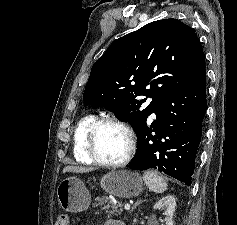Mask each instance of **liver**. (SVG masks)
Returning a JSON list of instances; mask_svg holds the SVG:
<instances>
[{
	"instance_id": "liver-1",
	"label": "liver",
	"mask_w": 237,
	"mask_h": 225,
	"mask_svg": "<svg viewBox=\"0 0 237 225\" xmlns=\"http://www.w3.org/2000/svg\"><path fill=\"white\" fill-rule=\"evenodd\" d=\"M94 168H88V167H79V166H66L63 169V173L66 172H72V173H87L90 171H93Z\"/></svg>"
}]
</instances>
